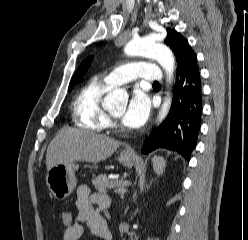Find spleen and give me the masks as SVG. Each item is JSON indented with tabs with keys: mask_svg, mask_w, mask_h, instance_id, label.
Instances as JSON below:
<instances>
[{
	"mask_svg": "<svg viewBox=\"0 0 248 240\" xmlns=\"http://www.w3.org/2000/svg\"><path fill=\"white\" fill-rule=\"evenodd\" d=\"M152 162L154 171L158 175H162L166 167V161L164 160V158L160 156H154L152 158Z\"/></svg>",
	"mask_w": 248,
	"mask_h": 240,
	"instance_id": "1",
	"label": "spleen"
}]
</instances>
